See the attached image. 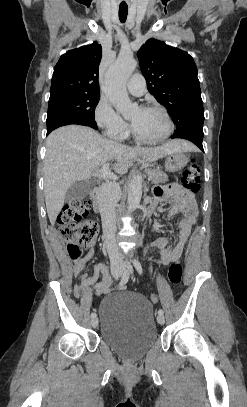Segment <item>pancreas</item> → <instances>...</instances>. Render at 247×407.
<instances>
[{
  "label": "pancreas",
  "mask_w": 247,
  "mask_h": 407,
  "mask_svg": "<svg viewBox=\"0 0 247 407\" xmlns=\"http://www.w3.org/2000/svg\"><path fill=\"white\" fill-rule=\"evenodd\" d=\"M148 175L152 176V183L158 184V183H163L166 182L168 179V176L165 172H163L161 169H151L148 172Z\"/></svg>",
  "instance_id": "pancreas-1"
}]
</instances>
